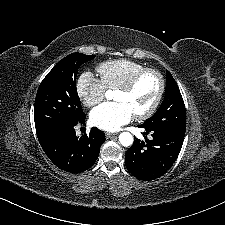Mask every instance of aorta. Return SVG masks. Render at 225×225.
Listing matches in <instances>:
<instances>
[{"instance_id": "aorta-1", "label": "aorta", "mask_w": 225, "mask_h": 225, "mask_svg": "<svg viewBox=\"0 0 225 225\" xmlns=\"http://www.w3.org/2000/svg\"><path fill=\"white\" fill-rule=\"evenodd\" d=\"M120 144L124 147H129L133 144V136L129 132H122L119 135Z\"/></svg>"}]
</instances>
